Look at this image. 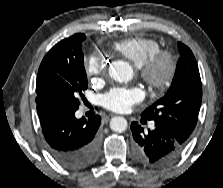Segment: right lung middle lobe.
Instances as JSON below:
<instances>
[{"mask_svg": "<svg viewBox=\"0 0 223 188\" xmlns=\"http://www.w3.org/2000/svg\"><path fill=\"white\" fill-rule=\"evenodd\" d=\"M85 38L83 33L75 34L66 48H52L46 54L37 75V106L79 107V96L88 88L82 53Z\"/></svg>", "mask_w": 223, "mask_h": 188, "instance_id": "right-lung-middle-lobe-1", "label": "right lung middle lobe"}]
</instances>
